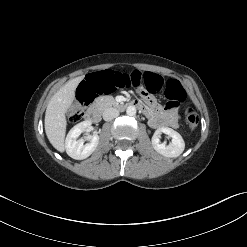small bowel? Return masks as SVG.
<instances>
[{"label":"small bowel","instance_id":"1","mask_svg":"<svg viewBox=\"0 0 247 247\" xmlns=\"http://www.w3.org/2000/svg\"><path fill=\"white\" fill-rule=\"evenodd\" d=\"M140 93L143 98V111L151 127L173 129L178 127L179 115L175 107H169L167 105L164 109H162L143 91Z\"/></svg>","mask_w":247,"mask_h":247}]
</instances>
